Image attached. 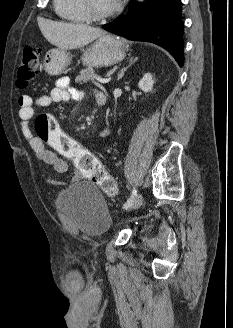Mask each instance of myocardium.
Returning <instances> with one entry per match:
<instances>
[{"label":"myocardium","mask_w":233,"mask_h":328,"mask_svg":"<svg viewBox=\"0 0 233 328\" xmlns=\"http://www.w3.org/2000/svg\"><path fill=\"white\" fill-rule=\"evenodd\" d=\"M81 6L83 8V11H84L87 19L91 20V21H101V20L111 18V17L115 16L116 14H118L122 9V5L120 4V2H117L116 5L111 10H109L107 12H103V13L95 12L91 8L89 0H81Z\"/></svg>","instance_id":"f54148a6"}]
</instances>
